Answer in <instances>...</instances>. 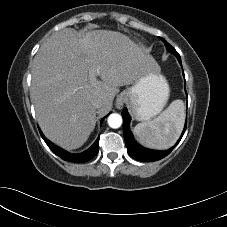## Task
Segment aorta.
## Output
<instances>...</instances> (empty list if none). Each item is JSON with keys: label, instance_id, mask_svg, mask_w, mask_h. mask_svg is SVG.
<instances>
[{"label": "aorta", "instance_id": "762f6f07", "mask_svg": "<svg viewBox=\"0 0 227 227\" xmlns=\"http://www.w3.org/2000/svg\"><path fill=\"white\" fill-rule=\"evenodd\" d=\"M107 122L111 128H119L122 125V116L117 113H112L109 115Z\"/></svg>", "mask_w": 227, "mask_h": 227}]
</instances>
